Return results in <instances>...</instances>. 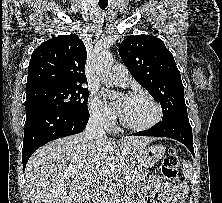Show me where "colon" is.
<instances>
[{
    "label": "colon",
    "instance_id": "obj_1",
    "mask_svg": "<svg viewBox=\"0 0 222 203\" xmlns=\"http://www.w3.org/2000/svg\"><path fill=\"white\" fill-rule=\"evenodd\" d=\"M178 168H179V156L177 151L173 148L169 149L167 156L164 158L162 163L161 172L163 177L176 184L178 181Z\"/></svg>",
    "mask_w": 222,
    "mask_h": 203
}]
</instances>
